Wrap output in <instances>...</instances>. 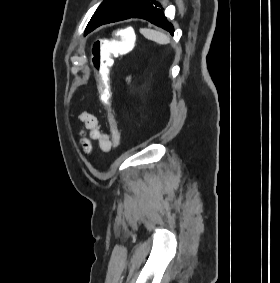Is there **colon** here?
I'll return each instance as SVG.
<instances>
[{
    "mask_svg": "<svg viewBox=\"0 0 280 283\" xmlns=\"http://www.w3.org/2000/svg\"><path fill=\"white\" fill-rule=\"evenodd\" d=\"M118 37H105V40H96L91 47L92 67L94 69L97 87L102 103L109 107L111 101V90L109 82V73L113 65L112 55H128L135 47L137 37L135 36L134 25H119L117 30ZM109 119L115 122L110 114ZM114 141L120 142L119 133L116 132Z\"/></svg>",
    "mask_w": 280,
    "mask_h": 283,
    "instance_id": "obj_1",
    "label": "colon"
}]
</instances>
